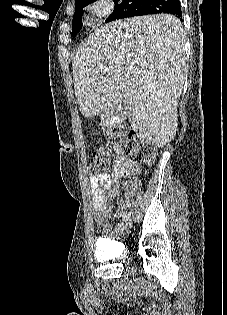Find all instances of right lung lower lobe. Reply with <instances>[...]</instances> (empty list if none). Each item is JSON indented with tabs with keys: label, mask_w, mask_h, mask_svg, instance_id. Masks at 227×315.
Returning <instances> with one entry per match:
<instances>
[{
	"label": "right lung lower lobe",
	"mask_w": 227,
	"mask_h": 315,
	"mask_svg": "<svg viewBox=\"0 0 227 315\" xmlns=\"http://www.w3.org/2000/svg\"><path fill=\"white\" fill-rule=\"evenodd\" d=\"M161 13L171 14L182 20L179 0H146L140 7L126 8L121 18Z\"/></svg>",
	"instance_id": "1"
}]
</instances>
